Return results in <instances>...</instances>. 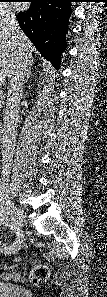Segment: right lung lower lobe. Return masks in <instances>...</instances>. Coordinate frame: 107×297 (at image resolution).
<instances>
[{
    "mask_svg": "<svg viewBox=\"0 0 107 297\" xmlns=\"http://www.w3.org/2000/svg\"><path fill=\"white\" fill-rule=\"evenodd\" d=\"M73 0H31L26 12L17 15L18 23L38 51L56 69L66 46L68 20Z\"/></svg>",
    "mask_w": 107,
    "mask_h": 297,
    "instance_id": "98d812e1",
    "label": "right lung lower lobe"
}]
</instances>
